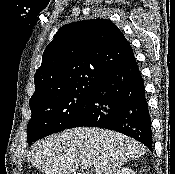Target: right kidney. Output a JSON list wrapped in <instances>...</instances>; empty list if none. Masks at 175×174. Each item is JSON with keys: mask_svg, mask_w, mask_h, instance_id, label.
Returning a JSON list of instances; mask_svg holds the SVG:
<instances>
[{"mask_svg": "<svg viewBox=\"0 0 175 174\" xmlns=\"http://www.w3.org/2000/svg\"><path fill=\"white\" fill-rule=\"evenodd\" d=\"M115 174H135V172L130 169L129 167H123L119 170H117V172Z\"/></svg>", "mask_w": 175, "mask_h": 174, "instance_id": "obj_1", "label": "right kidney"}]
</instances>
